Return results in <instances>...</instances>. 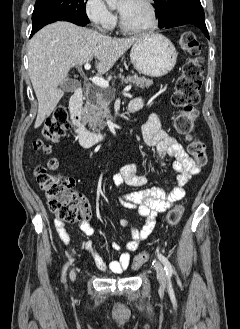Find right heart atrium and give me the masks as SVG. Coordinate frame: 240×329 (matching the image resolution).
<instances>
[{
    "instance_id": "obj_1",
    "label": "right heart atrium",
    "mask_w": 240,
    "mask_h": 329,
    "mask_svg": "<svg viewBox=\"0 0 240 329\" xmlns=\"http://www.w3.org/2000/svg\"><path fill=\"white\" fill-rule=\"evenodd\" d=\"M85 14L99 31H108L116 24V16L108 8L104 0H86Z\"/></svg>"
}]
</instances>
